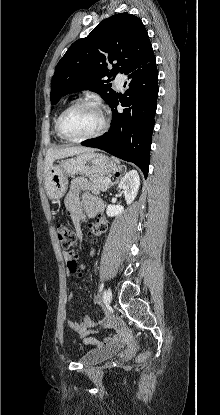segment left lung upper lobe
Here are the masks:
<instances>
[{
	"mask_svg": "<svg viewBox=\"0 0 220 415\" xmlns=\"http://www.w3.org/2000/svg\"><path fill=\"white\" fill-rule=\"evenodd\" d=\"M153 55L148 33L138 17L119 13L104 19L87 37L74 42L58 62L52 78L51 103L56 104L72 91L88 89L109 104L115 91L105 83L118 72L144 64ZM109 63L112 70L107 68Z\"/></svg>",
	"mask_w": 220,
	"mask_h": 415,
	"instance_id": "left-lung-upper-lobe-1",
	"label": "left lung upper lobe"
}]
</instances>
